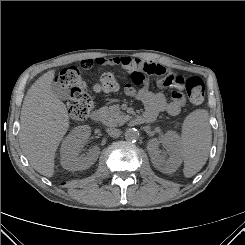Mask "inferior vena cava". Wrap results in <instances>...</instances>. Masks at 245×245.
Here are the masks:
<instances>
[{
  "label": "inferior vena cava",
  "mask_w": 245,
  "mask_h": 245,
  "mask_svg": "<svg viewBox=\"0 0 245 245\" xmlns=\"http://www.w3.org/2000/svg\"><path fill=\"white\" fill-rule=\"evenodd\" d=\"M106 131L108 135H110L113 138H117L121 135V131L117 128H108Z\"/></svg>",
  "instance_id": "inferior-vena-cava-1"
}]
</instances>
